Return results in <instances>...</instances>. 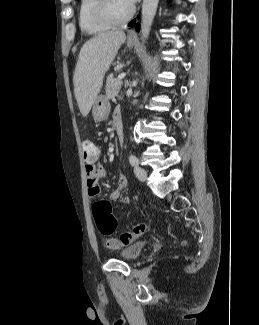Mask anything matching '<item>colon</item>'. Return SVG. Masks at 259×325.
I'll use <instances>...</instances> for the list:
<instances>
[{"instance_id": "obj_1", "label": "colon", "mask_w": 259, "mask_h": 325, "mask_svg": "<svg viewBox=\"0 0 259 325\" xmlns=\"http://www.w3.org/2000/svg\"><path fill=\"white\" fill-rule=\"evenodd\" d=\"M82 151L84 159L88 161L95 160L99 154L98 148L90 140L83 141ZM93 216L98 230L103 235L109 236L116 231L117 221L112 214V205L109 201H97L93 205ZM146 230L147 225L145 223H138L130 231L122 233L118 238H105L104 245L109 249L125 247L141 237Z\"/></svg>"}]
</instances>
